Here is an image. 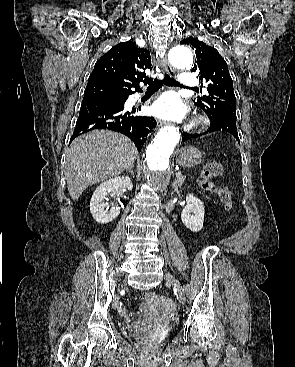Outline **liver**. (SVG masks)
<instances>
[{
	"mask_svg": "<svg viewBox=\"0 0 295 367\" xmlns=\"http://www.w3.org/2000/svg\"><path fill=\"white\" fill-rule=\"evenodd\" d=\"M136 156L133 142L116 132L95 130L76 138L67 150L65 163L71 198L77 200L87 187L121 174L133 165Z\"/></svg>",
	"mask_w": 295,
	"mask_h": 367,
	"instance_id": "1",
	"label": "liver"
}]
</instances>
